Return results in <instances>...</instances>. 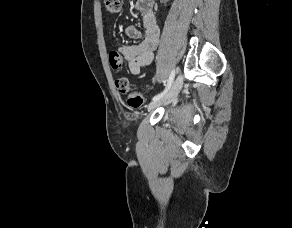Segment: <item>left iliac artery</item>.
Wrapping results in <instances>:
<instances>
[{
  "mask_svg": "<svg viewBox=\"0 0 292 228\" xmlns=\"http://www.w3.org/2000/svg\"><path fill=\"white\" fill-rule=\"evenodd\" d=\"M174 77H175V70H172L170 76H169V79H168V82H167V85H166V88L159 94L155 95L152 100L153 101H157L159 100L160 98H162L164 95H166V93L169 91V89L171 88V85L173 83V80H174Z\"/></svg>",
  "mask_w": 292,
  "mask_h": 228,
  "instance_id": "left-iliac-artery-1",
  "label": "left iliac artery"
}]
</instances>
